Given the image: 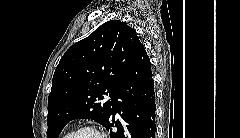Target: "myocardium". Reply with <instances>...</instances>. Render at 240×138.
I'll use <instances>...</instances> for the list:
<instances>
[{
	"label": "myocardium",
	"instance_id": "1",
	"mask_svg": "<svg viewBox=\"0 0 240 138\" xmlns=\"http://www.w3.org/2000/svg\"><path fill=\"white\" fill-rule=\"evenodd\" d=\"M86 131L95 133L98 138H104V134L102 133V131L95 125L81 126V127L77 128L76 130H74L68 138H77L79 134H81L82 132H86Z\"/></svg>",
	"mask_w": 240,
	"mask_h": 138
}]
</instances>
